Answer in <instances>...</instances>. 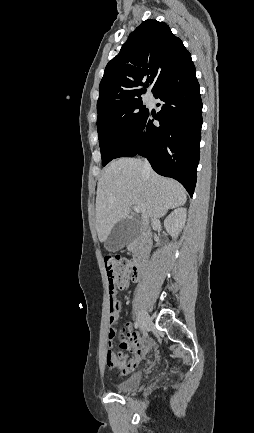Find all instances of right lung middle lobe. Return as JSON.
Segmentation results:
<instances>
[{
  "label": "right lung middle lobe",
  "mask_w": 254,
  "mask_h": 433,
  "mask_svg": "<svg viewBox=\"0 0 254 433\" xmlns=\"http://www.w3.org/2000/svg\"><path fill=\"white\" fill-rule=\"evenodd\" d=\"M147 112L141 99L98 112L97 130L103 166L114 159Z\"/></svg>",
  "instance_id": "right-lung-middle-lobe-1"
}]
</instances>
